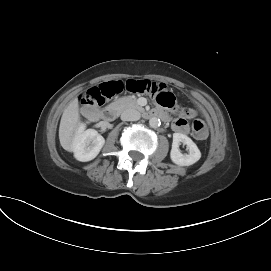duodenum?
<instances>
[{
    "instance_id": "410a0bca",
    "label": "duodenum",
    "mask_w": 271,
    "mask_h": 271,
    "mask_svg": "<svg viewBox=\"0 0 271 271\" xmlns=\"http://www.w3.org/2000/svg\"><path fill=\"white\" fill-rule=\"evenodd\" d=\"M118 114V109L116 106H109L106 109H104L100 114H98L95 110H89L87 111L88 117L95 119L97 117H100L103 122L110 123L112 122ZM147 118H153V117H159L163 120H167L168 116L160 110H152L149 112H146L144 114Z\"/></svg>"
}]
</instances>
